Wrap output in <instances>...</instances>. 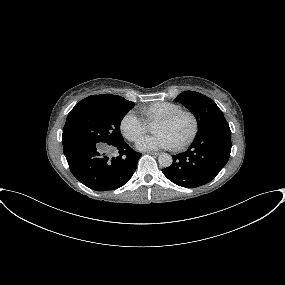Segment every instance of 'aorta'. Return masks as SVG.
Segmentation results:
<instances>
[{
	"mask_svg": "<svg viewBox=\"0 0 285 285\" xmlns=\"http://www.w3.org/2000/svg\"><path fill=\"white\" fill-rule=\"evenodd\" d=\"M158 162H159L160 166L166 168V167H169L172 164L173 159H172L171 155H169L167 153H162L158 157Z\"/></svg>",
	"mask_w": 285,
	"mask_h": 285,
	"instance_id": "obj_1",
	"label": "aorta"
}]
</instances>
